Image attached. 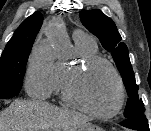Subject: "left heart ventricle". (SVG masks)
Masks as SVG:
<instances>
[{
	"label": "left heart ventricle",
	"mask_w": 151,
	"mask_h": 131,
	"mask_svg": "<svg viewBox=\"0 0 151 131\" xmlns=\"http://www.w3.org/2000/svg\"><path fill=\"white\" fill-rule=\"evenodd\" d=\"M76 90L93 110L109 112L117 104L118 86L112 72L102 64L88 70L77 82Z\"/></svg>",
	"instance_id": "1"
}]
</instances>
